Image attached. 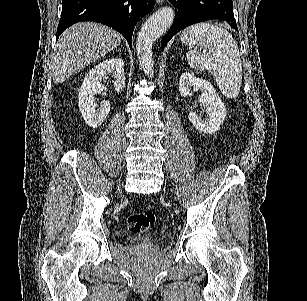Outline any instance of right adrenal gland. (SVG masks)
I'll return each instance as SVG.
<instances>
[{
    "label": "right adrenal gland",
    "instance_id": "1",
    "mask_svg": "<svg viewBox=\"0 0 307 301\" xmlns=\"http://www.w3.org/2000/svg\"><path fill=\"white\" fill-rule=\"evenodd\" d=\"M116 50H118V52H121V48H116Z\"/></svg>",
    "mask_w": 307,
    "mask_h": 301
}]
</instances>
